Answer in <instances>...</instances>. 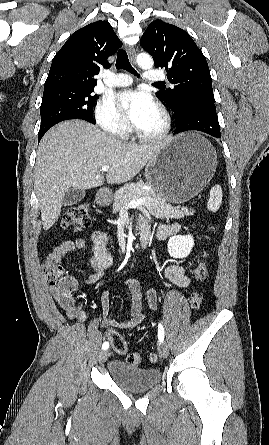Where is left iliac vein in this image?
<instances>
[{"label":"left iliac vein","mask_w":269,"mask_h":445,"mask_svg":"<svg viewBox=\"0 0 269 445\" xmlns=\"http://www.w3.org/2000/svg\"><path fill=\"white\" fill-rule=\"evenodd\" d=\"M158 351H159V354H160V356L162 358H167L168 357L169 351H168V347H167V345L165 343H163V342L159 343Z\"/></svg>","instance_id":"4c4485c4"}]
</instances>
